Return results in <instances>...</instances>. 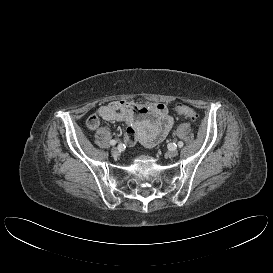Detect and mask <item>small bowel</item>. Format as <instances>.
Listing matches in <instances>:
<instances>
[{
	"label": "small bowel",
	"mask_w": 273,
	"mask_h": 273,
	"mask_svg": "<svg viewBox=\"0 0 273 273\" xmlns=\"http://www.w3.org/2000/svg\"><path fill=\"white\" fill-rule=\"evenodd\" d=\"M100 119L125 123V141L128 146L140 142L146 147H153L166 138L174 124L167 106L163 103L113 101L100 106L89 117L87 128L92 131L97 129Z\"/></svg>",
	"instance_id": "small-bowel-1"
}]
</instances>
